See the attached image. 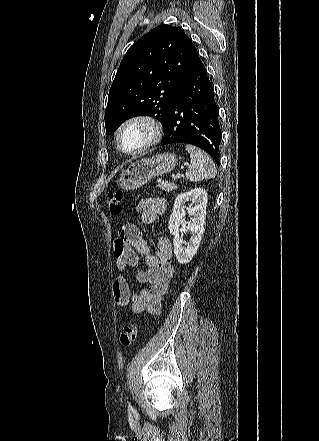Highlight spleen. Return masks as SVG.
<instances>
[{"label":"spleen","instance_id":"obj_1","mask_svg":"<svg viewBox=\"0 0 319 441\" xmlns=\"http://www.w3.org/2000/svg\"><path fill=\"white\" fill-rule=\"evenodd\" d=\"M185 149L190 154V168L186 172L189 181L197 182L204 179L214 178L216 168L213 160L201 149L194 145H185Z\"/></svg>","mask_w":319,"mask_h":441}]
</instances>
